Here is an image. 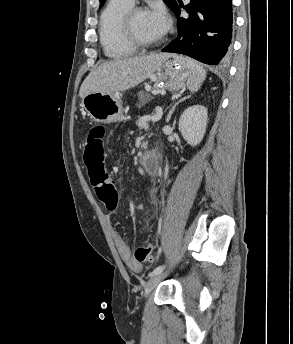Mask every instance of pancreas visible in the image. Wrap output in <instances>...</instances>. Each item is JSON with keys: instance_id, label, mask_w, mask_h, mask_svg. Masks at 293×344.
<instances>
[{"instance_id": "pancreas-1", "label": "pancreas", "mask_w": 293, "mask_h": 344, "mask_svg": "<svg viewBox=\"0 0 293 344\" xmlns=\"http://www.w3.org/2000/svg\"><path fill=\"white\" fill-rule=\"evenodd\" d=\"M157 89H155L154 91H156ZM143 98H144V101H147V100H149L150 99V96L149 95H145V96H143ZM137 125L140 127V128H143V125L141 124V119H139L138 121H137Z\"/></svg>"}]
</instances>
